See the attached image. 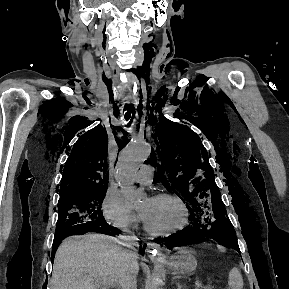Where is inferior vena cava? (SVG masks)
<instances>
[{
	"label": "inferior vena cava",
	"mask_w": 289,
	"mask_h": 289,
	"mask_svg": "<svg viewBox=\"0 0 289 289\" xmlns=\"http://www.w3.org/2000/svg\"><path fill=\"white\" fill-rule=\"evenodd\" d=\"M129 242L131 251L128 253V267L136 264L138 259V253L136 252L134 246L137 244L134 236L126 237ZM121 289H137L136 287V276H134L130 270H127L120 284Z\"/></svg>",
	"instance_id": "inferior-vena-cava-1"
}]
</instances>
